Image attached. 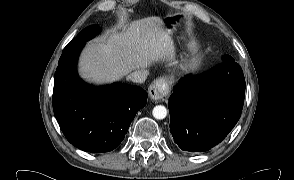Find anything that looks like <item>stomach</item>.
<instances>
[{
    "instance_id": "1",
    "label": "stomach",
    "mask_w": 294,
    "mask_h": 180,
    "mask_svg": "<svg viewBox=\"0 0 294 180\" xmlns=\"http://www.w3.org/2000/svg\"><path fill=\"white\" fill-rule=\"evenodd\" d=\"M164 29L171 33L176 30L177 27H181L185 22V17L180 13L168 14L162 18ZM195 66L194 62L183 66L184 69L190 68L193 69Z\"/></svg>"
}]
</instances>
